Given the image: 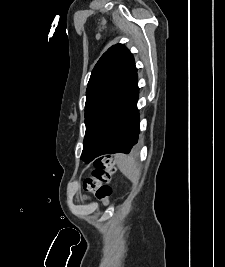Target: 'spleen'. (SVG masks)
Wrapping results in <instances>:
<instances>
[{"instance_id":"spleen-1","label":"spleen","mask_w":225,"mask_h":267,"mask_svg":"<svg viewBox=\"0 0 225 267\" xmlns=\"http://www.w3.org/2000/svg\"><path fill=\"white\" fill-rule=\"evenodd\" d=\"M115 162L122 174L132 182H138L140 170L135 159L131 156L118 154L115 156Z\"/></svg>"}]
</instances>
